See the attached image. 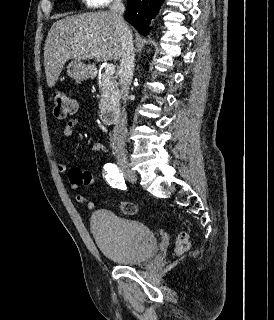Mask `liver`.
<instances>
[{"label": "liver", "instance_id": "liver-1", "mask_svg": "<svg viewBox=\"0 0 274 320\" xmlns=\"http://www.w3.org/2000/svg\"><path fill=\"white\" fill-rule=\"evenodd\" d=\"M121 44L110 12L67 16L51 26L44 44L45 76L55 86L68 60H120Z\"/></svg>", "mask_w": 274, "mask_h": 320}]
</instances>
